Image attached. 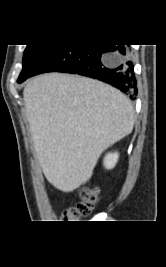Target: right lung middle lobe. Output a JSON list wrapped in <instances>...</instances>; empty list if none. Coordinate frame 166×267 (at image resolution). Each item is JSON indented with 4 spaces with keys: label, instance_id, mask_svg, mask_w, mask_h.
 Returning <instances> with one entry per match:
<instances>
[{
    "label": "right lung middle lobe",
    "instance_id": "obj_1",
    "mask_svg": "<svg viewBox=\"0 0 166 267\" xmlns=\"http://www.w3.org/2000/svg\"><path fill=\"white\" fill-rule=\"evenodd\" d=\"M54 47L53 44L27 45L23 56V69L18 78V83L25 81L40 63L44 56Z\"/></svg>",
    "mask_w": 166,
    "mask_h": 267
}]
</instances>
